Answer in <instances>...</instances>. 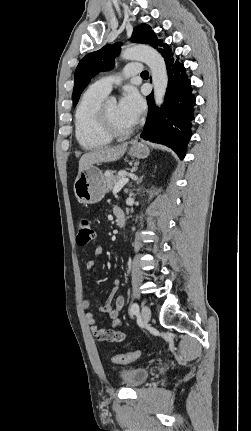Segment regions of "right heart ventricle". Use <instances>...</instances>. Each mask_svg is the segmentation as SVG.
<instances>
[{
    "label": "right heart ventricle",
    "instance_id": "1",
    "mask_svg": "<svg viewBox=\"0 0 251 431\" xmlns=\"http://www.w3.org/2000/svg\"><path fill=\"white\" fill-rule=\"evenodd\" d=\"M107 94L90 86L81 96L75 111V136L85 150H95L108 145L112 138L98 126V110Z\"/></svg>",
    "mask_w": 251,
    "mask_h": 431
}]
</instances>
